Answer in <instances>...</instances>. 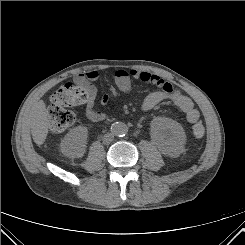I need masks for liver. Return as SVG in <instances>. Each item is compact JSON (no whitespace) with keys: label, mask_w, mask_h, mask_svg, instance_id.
<instances>
[{"label":"liver","mask_w":245,"mask_h":245,"mask_svg":"<svg viewBox=\"0 0 245 245\" xmlns=\"http://www.w3.org/2000/svg\"><path fill=\"white\" fill-rule=\"evenodd\" d=\"M49 125L46 105L43 100H40L34 104L31 121L32 138L38 146L44 143L48 135Z\"/></svg>","instance_id":"obj_1"}]
</instances>
